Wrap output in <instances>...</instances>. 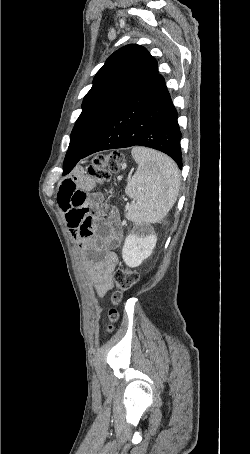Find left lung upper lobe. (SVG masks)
I'll use <instances>...</instances> for the list:
<instances>
[{
    "label": "left lung upper lobe",
    "instance_id": "1",
    "mask_svg": "<svg viewBox=\"0 0 250 454\" xmlns=\"http://www.w3.org/2000/svg\"><path fill=\"white\" fill-rule=\"evenodd\" d=\"M157 75V61L144 47L130 44L115 51L84 97L67 154L82 155L107 119Z\"/></svg>",
    "mask_w": 250,
    "mask_h": 454
}]
</instances>
